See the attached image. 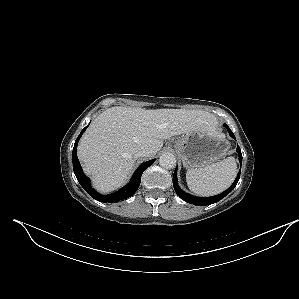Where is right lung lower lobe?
I'll return each instance as SVG.
<instances>
[{"label": "right lung lower lobe", "instance_id": "1", "mask_svg": "<svg viewBox=\"0 0 299 299\" xmlns=\"http://www.w3.org/2000/svg\"><path fill=\"white\" fill-rule=\"evenodd\" d=\"M88 126H89V124L85 128H83L80 135L76 139L75 144H74V148H73V153H72L73 170H74V173H75V175L77 177V180L79 181L80 185L83 187V189L92 198H94V199H96L100 202H104V203H106V202L116 203L120 200L131 197L137 191V189L140 185L142 173L144 172V170L147 167H149L150 165H152L154 163L155 159H152L150 161L142 163L138 167V169L135 171V173L132 176V179L130 180V182L126 186H124L123 188H121L120 190H118L115 193L108 194V195H102V194L96 192L92 188L91 183H90V179L82 171V168H81V165L79 163L77 153H76L78 141H79L80 137L82 136V134L84 133V131L86 130V128Z\"/></svg>", "mask_w": 299, "mask_h": 299}]
</instances>
